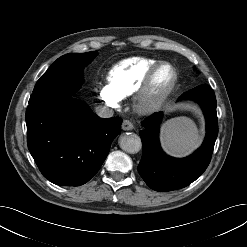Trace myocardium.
Here are the masks:
<instances>
[{"instance_id": "obj_1", "label": "myocardium", "mask_w": 247, "mask_h": 247, "mask_svg": "<svg viewBox=\"0 0 247 247\" xmlns=\"http://www.w3.org/2000/svg\"><path fill=\"white\" fill-rule=\"evenodd\" d=\"M169 67L172 70L173 78L168 87L160 94L152 96L151 85L157 72L162 67ZM178 82L177 69L169 62L161 61L154 65L145 75L142 82L133 95V107L136 112L142 115L156 111L172 94Z\"/></svg>"}]
</instances>
